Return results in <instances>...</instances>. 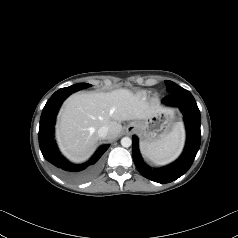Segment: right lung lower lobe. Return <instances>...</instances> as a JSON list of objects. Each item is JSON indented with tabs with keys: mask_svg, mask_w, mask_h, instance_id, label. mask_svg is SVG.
Listing matches in <instances>:
<instances>
[{
	"mask_svg": "<svg viewBox=\"0 0 238 238\" xmlns=\"http://www.w3.org/2000/svg\"><path fill=\"white\" fill-rule=\"evenodd\" d=\"M78 90L80 88L77 85H72L56 91L47 101L42 111L39 127V145L44 158L56 166L65 178L72 181L87 177L92 171V167L88 169L87 167L95 164L109 147V145L100 147L87 163L80 165L68 162L58 151L53 135L55 117L63 100Z\"/></svg>",
	"mask_w": 238,
	"mask_h": 238,
	"instance_id": "1",
	"label": "right lung lower lobe"
}]
</instances>
